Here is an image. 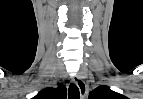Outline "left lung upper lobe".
Returning <instances> with one entry per match:
<instances>
[{"label": "left lung upper lobe", "mask_w": 143, "mask_h": 99, "mask_svg": "<svg viewBox=\"0 0 143 99\" xmlns=\"http://www.w3.org/2000/svg\"><path fill=\"white\" fill-rule=\"evenodd\" d=\"M89 99H128L127 97L114 92L106 85H100L90 92Z\"/></svg>", "instance_id": "1"}]
</instances>
